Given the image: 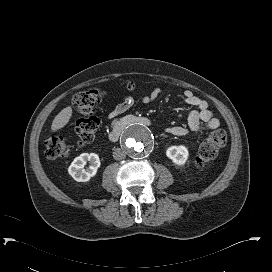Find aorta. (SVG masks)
<instances>
[{"label": "aorta", "mask_w": 272, "mask_h": 272, "mask_svg": "<svg viewBox=\"0 0 272 272\" xmlns=\"http://www.w3.org/2000/svg\"><path fill=\"white\" fill-rule=\"evenodd\" d=\"M122 146L132 158H143L151 153L155 139L152 132L145 126L132 125L123 133Z\"/></svg>", "instance_id": "aorta-1"}]
</instances>
